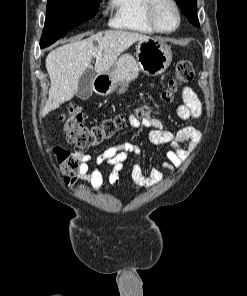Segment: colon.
I'll list each match as a JSON object with an SVG mask.
<instances>
[{
    "label": "colon",
    "instance_id": "1",
    "mask_svg": "<svg viewBox=\"0 0 247 296\" xmlns=\"http://www.w3.org/2000/svg\"><path fill=\"white\" fill-rule=\"evenodd\" d=\"M193 77L192 63L189 60L179 61L169 80V88L162 93L163 102H171L179 86L192 81ZM149 112L148 107H140L135 110V115L142 117L148 115ZM60 120L68 142L75 148L74 153L60 147L55 149V155L62 171L67 176L68 182L72 181L78 172L80 166L78 154H83L111 138L126 123L124 116L114 115L104 118L96 124L89 125L85 122L82 108L78 105L70 106L60 116Z\"/></svg>",
    "mask_w": 247,
    "mask_h": 296
}]
</instances>
